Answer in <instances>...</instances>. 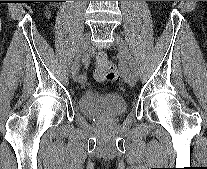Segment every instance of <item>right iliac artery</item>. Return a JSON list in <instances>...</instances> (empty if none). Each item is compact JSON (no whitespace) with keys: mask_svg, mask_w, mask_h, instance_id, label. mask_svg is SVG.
I'll list each match as a JSON object with an SVG mask.
<instances>
[{"mask_svg":"<svg viewBox=\"0 0 207 169\" xmlns=\"http://www.w3.org/2000/svg\"><path fill=\"white\" fill-rule=\"evenodd\" d=\"M82 62L85 65V67H88L89 62H90L88 54L83 55ZM85 78H86V76L84 74H80L78 76L79 82H83L85 80Z\"/></svg>","mask_w":207,"mask_h":169,"instance_id":"82829eb1","label":"right iliac artery"}]
</instances>
